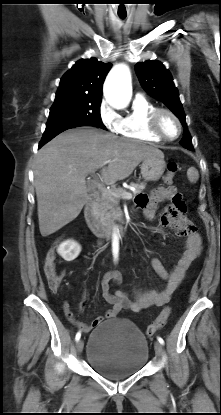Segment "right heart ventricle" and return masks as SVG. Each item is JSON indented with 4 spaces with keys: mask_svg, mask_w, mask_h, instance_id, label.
<instances>
[{
    "mask_svg": "<svg viewBox=\"0 0 221 415\" xmlns=\"http://www.w3.org/2000/svg\"><path fill=\"white\" fill-rule=\"evenodd\" d=\"M157 107L145 97L138 95L132 102L131 110L120 117L118 133L127 138L139 141L159 143L162 140L148 128L150 113Z\"/></svg>",
    "mask_w": 221,
    "mask_h": 415,
    "instance_id": "e07e8e85",
    "label": "right heart ventricle"
}]
</instances>
